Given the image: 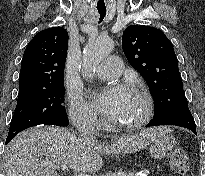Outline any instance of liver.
<instances>
[{
    "label": "liver",
    "instance_id": "6515ba94",
    "mask_svg": "<svg viewBox=\"0 0 205 176\" xmlns=\"http://www.w3.org/2000/svg\"><path fill=\"white\" fill-rule=\"evenodd\" d=\"M164 127L150 128L118 139L111 145L84 143L75 134L58 127L32 128L17 135L6 147L5 176H59L44 162L65 164L82 173H96L100 154L132 153L149 145Z\"/></svg>",
    "mask_w": 205,
    "mask_h": 176
}]
</instances>
